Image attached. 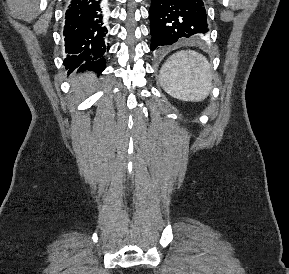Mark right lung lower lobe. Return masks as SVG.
Instances as JSON below:
<instances>
[{"label":"right lung lower lobe","mask_w":289,"mask_h":274,"mask_svg":"<svg viewBox=\"0 0 289 274\" xmlns=\"http://www.w3.org/2000/svg\"><path fill=\"white\" fill-rule=\"evenodd\" d=\"M104 0H70L65 15L66 68L102 72L107 34Z\"/></svg>","instance_id":"1"}]
</instances>
